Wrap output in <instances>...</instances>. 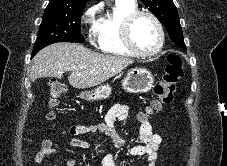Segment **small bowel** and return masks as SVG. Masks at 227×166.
I'll list each match as a JSON object with an SVG mask.
<instances>
[{"mask_svg":"<svg viewBox=\"0 0 227 166\" xmlns=\"http://www.w3.org/2000/svg\"><path fill=\"white\" fill-rule=\"evenodd\" d=\"M129 106L126 104L114 105L106 114L105 123H96L91 125H74L70 128L63 130V134H70L73 136H81L88 133H102L105 134L111 144L120 149L129 143V140L124 137L116 128L118 120H125L128 117ZM140 130L138 134L132 139L136 143L128 151V155L135 157L145 156L147 159L146 166H157L159 160L158 149L162 143V137L152 131L149 120L140 115ZM72 147H80L84 149H92V145L82 139L75 138L71 140ZM58 154V149L54 146L51 139L43 140L40 149L34 156L36 165L43 163L46 156ZM117 156L112 153L104 155L103 166H116ZM79 159L63 158L62 166H77Z\"/></svg>","mask_w":227,"mask_h":166,"instance_id":"obj_1","label":"small bowel"}]
</instances>
